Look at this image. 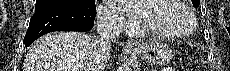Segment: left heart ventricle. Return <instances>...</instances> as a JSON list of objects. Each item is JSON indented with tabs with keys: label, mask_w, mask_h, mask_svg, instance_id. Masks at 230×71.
Here are the masks:
<instances>
[{
	"label": "left heart ventricle",
	"mask_w": 230,
	"mask_h": 71,
	"mask_svg": "<svg viewBox=\"0 0 230 71\" xmlns=\"http://www.w3.org/2000/svg\"><path fill=\"white\" fill-rule=\"evenodd\" d=\"M140 7L144 10L146 22L154 29L181 34L191 28L190 16L174 0L145 1Z\"/></svg>",
	"instance_id": "left-heart-ventricle-1"
}]
</instances>
